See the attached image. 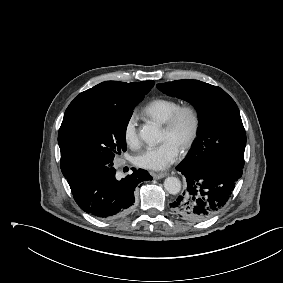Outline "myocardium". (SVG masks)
Instances as JSON below:
<instances>
[{"label":"myocardium","mask_w":283,"mask_h":283,"mask_svg":"<svg viewBox=\"0 0 283 283\" xmlns=\"http://www.w3.org/2000/svg\"><path fill=\"white\" fill-rule=\"evenodd\" d=\"M184 117H188L191 121L190 132L180 147L181 150L186 151L192 147L200 131V113L194 105L186 104L179 106L164 124V130L170 134L174 133Z\"/></svg>","instance_id":"obj_1"}]
</instances>
